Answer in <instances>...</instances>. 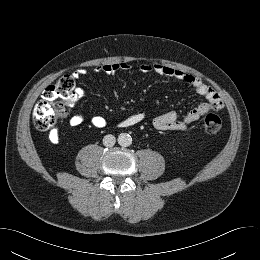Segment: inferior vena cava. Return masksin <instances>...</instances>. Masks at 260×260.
<instances>
[{
  "label": "inferior vena cava",
  "instance_id": "inferior-vena-cava-1",
  "mask_svg": "<svg viewBox=\"0 0 260 260\" xmlns=\"http://www.w3.org/2000/svg\"><path fill=\"white\" fill-rule=\"evenodd\" d=\"M116 138L112 134L105 135L103 138V144L106 147H112L115 145Z\"/></svg>",
  "mask_w": 260,
  "mask_h": 260
}]
</instances>
